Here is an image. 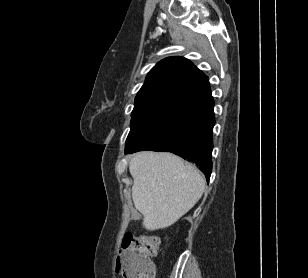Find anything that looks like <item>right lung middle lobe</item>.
<instances>
[{
  "mask_svg": "<svg viewBox=\"0 0 308 278\" xmlns=\"http://www.w3.org/2000/svg\"><path fill=\"white\" fill-rule=\"evenodd\" d=\"M176 115L168 113L133 116L131 129L126 139L125 153L165 127Z\"/></svg>",
  "mask_w": 308,
  "mask_h": 278,
  "instance_id": "right-lung-middle-lobe-1",
  "label": "right lung middle lobe"
}]
</instances>
